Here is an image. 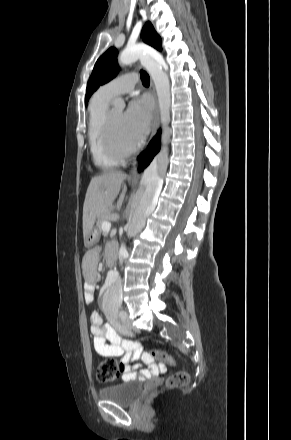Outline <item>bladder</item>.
Returning a JSON list of instances; mask_svg holds the SVG:
<instances>
[{"label":"bladder","instance_id":"obj_1","mask_svg":"<svg viewBox=\"0 0 291 440\" xmlns=\"http://www.w3.org/2000/svg\"><path fill=\"white\" fill-rule=\"evenodd\" d=\"M141 388L135 382H123L102 387L99 396L108 402L127 405L133 403L140 395Z\"/></svg>","mask_w":291,"mask_h":440}]
</instances>
